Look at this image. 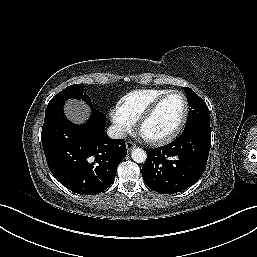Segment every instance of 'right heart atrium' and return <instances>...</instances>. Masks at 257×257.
Masks as SVG:
<instances>
[{"label":"right heart atrium","instance_id":"d8ad5b80","mask_svg":"<svg viewBox=\"0 0 257 257\" xmlns=\"http://www.w3.org/2000/svg\"><path fill=\"white\" fill-rule=\"evenodd\" d=\"M110 118L115 132L119 137H123L128 134L135 123L119 104L115 105L110 110Z\"/></svg>","mask_w":257,"mask_h":257}]
</instances>
